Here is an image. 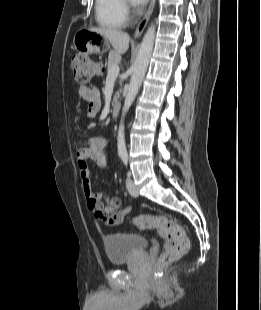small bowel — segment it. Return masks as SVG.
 <instances>
[{
  "mask_svg": "<svg viewBox=\"0 0 261 310\" xmlns=\"http://www.w3.org/2000/svg\"><path fill=\"white\" fill-rule=\"evenodd\" d=\"M80 95L89 102V116L93 117L100 108V94L95 86H83ZM109 141L104 138H89L76 152V160L81 179V186L86 200V206L94 217L107 225L121 224L131 213V208L120 210L119 198L106 193H94L91 190V178L93 173L88 161H95L101 167L108 165Z\"/></svg>",
  "mask_w": 261,
  "mask_h": 310,
  "instance_id": "c3829d8e",
  "label": "small bowel"
}]
</instances>
